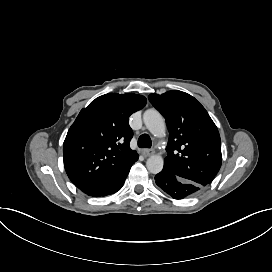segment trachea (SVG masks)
<instances>
[{
  "mask_svg": "<svg viewBox=\"0 0 272 272\" xmlns=\"http://www.w3.org/2000/svg\"><path fill=\"white\" fill-rule=\"evenodd\" d=\"M152 145V141L147 134H142L138 139V146L140 148H150Z\"/></svg>",
  "mask_w": 272,
  "mask_h": 272,
  "instance_id": "obj_1",
  "label": "trachea"
}]
</instances>
